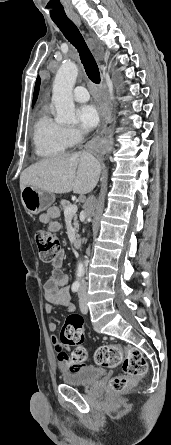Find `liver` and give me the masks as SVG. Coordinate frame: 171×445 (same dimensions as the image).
Wrapping results in <instances>:
<instances>
[{"instance_id":"liver-1","label":"liver","mask_w":171,"mask_h":445,"mask_svg":"<svg viewBox=\"0 0 171 445\" xmlns=\"http://www.w3.org/2000/svg\"><path fill=\"white\" fill-rule=\"evenodd\" d=\"M101 167L90 153L63 154L26 168L20 176V189L33 186L51 194L91 192L98 183Z\"/></svg>"}]
</instances>
